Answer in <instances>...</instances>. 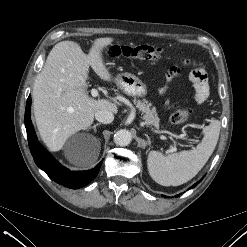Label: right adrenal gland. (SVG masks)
Segmentation results:
<instances>
[{"label": "right adrenal gland", "mask_w": 247, "mask_h": 247, "mask_svg": "<svg viewBox=\"0 0 247 247\" xmlns=\"http://www.w3.org/2000/svg\"><path fill=\"white\" fill-rule=\"evenodd\" d=\"M99 125H101V124L100 123H96L93 126L89 127L88 130L89 129H93V131L96 132V127L99 126Z\"/></svg>", "instance_id": "1"}]
</instances>
